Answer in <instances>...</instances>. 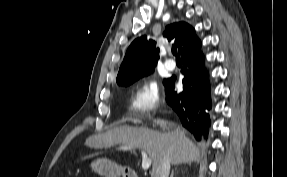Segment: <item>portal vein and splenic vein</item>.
Segmentation results:
<instances>
[{"mask_svg": "<svg viewBox=\"0 0 287 177\" xmlns=\"http://www.w3.org/2000/svg\"><path fill=\"white\" fill-rule=\"evenodd\" d=\"M133 147L131 146H121L122 150H131ZM142 155V169L148 170L152 164L151 158H149L144 150H141Z\"/></svg>", "mask_w": 287, "mask_h": 177, "instance_id": "obj_1", "label": "portal vein and splenic vein"}]
</instances>
